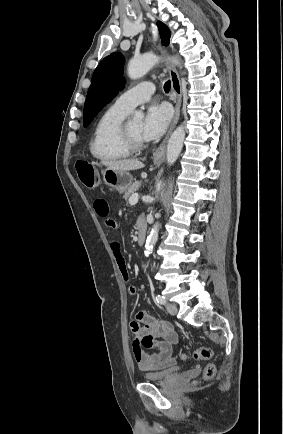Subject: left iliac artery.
I'll return each mask as SVG.
<instances>
[{
  "label": "left iliac artery",
  "mask_w": 283,
  "mask_h": 434,
  "mask_svg": "<svg viewBox=\"0 0 283 434\" xmlns=\"http://www.w3.org/2000/svg\"><path fill=\"white\" fill-rule=\"evenodd\" d=\"M155 300H156L158 303H160V304H165V303H166V299H165V297L162 296V295H157V296L155 297Z\"/></svg>",
  "instance_id": "left-iliac-artery-1"
}]
</instances>
